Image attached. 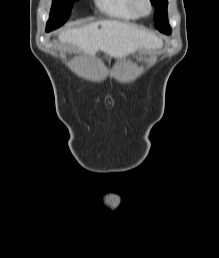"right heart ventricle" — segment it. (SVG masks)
Segmentation results:
<instances>
[{
    "label": "right heart ventricle",
    "mask_w": 219,
    "mask_h": 258,
    "mask_svg": "<svg viewBox=\"0 0 219 258\" xmlns=\"http://www.w3.org/2000/svg\"><path fill=\"white\" fill-rule=\"evenodd\" d=\"M95 4L103 14L114 19L133 21L139 17L132 0H95Z\"/></svg>",
    "instance_id": "right-heart-ventricle-1"
}]
</instances>
